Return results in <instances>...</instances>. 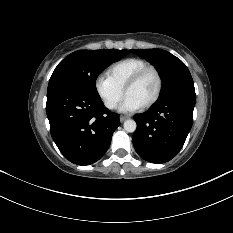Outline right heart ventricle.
<instances>
[{
    "label": "right heart ventricle",
    "instance_id": "right-heart-ventricle-1",
    "mask_svg": "<svg viewBox=\"0 0 233 233\" xmlns=\"http://www.w3.org/2000/svg\"><path fill=\"white\" fill-rule=\"evenodd\" d=\"M147 65L148 62L142 58L129 57L112 64L107 70V77L123 90L128 80Z\"/></svg>",
    "mask_w": 233,
    "mask_h": 233
}]
</instances>
